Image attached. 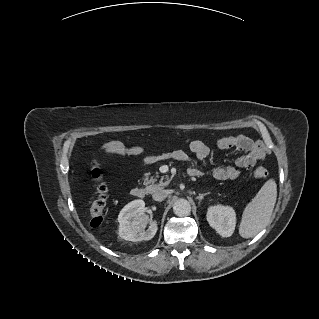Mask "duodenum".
<instances>
[{
	"mask_svg": "<svg viewBox=\"0 0 319 319\" xmlns=\"http://www.w3.org/2000/svg\"><path fill=\"white\" fill-rule=\"evenodd\" d=\"M189 175L196 177V176H198L199 174H197V173L194 172V171H191V172H189ZM145 194H146L145 189H144V187H142V186L134 187V188L132 189V191H131V195H132L133 197H135V198H138V199L144 198V197H145Z\"/></svg>",
	"mask_w": 319,
	"mask_h": 319,
	"instance_id": "1",
	"label": "duodenum"
}]
</instances>
